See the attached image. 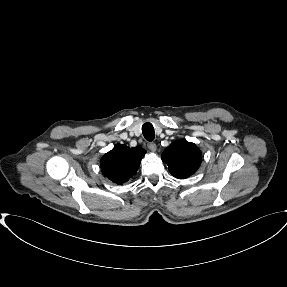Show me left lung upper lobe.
I'll use <instances>...</instances> for the list:
<instances>
[{
  "instance_id": "obj_1",
  "label": "left lung upper lobe",
  "mask_w": 287,
  "mask_h": 287,
  "mask_svg": "<svg viewBox=\"0 0 287 287\" xmlns=\"http://www.w3.org/2000/svg\"><path fill=\"white\" fill-rule=\"evenodd\" d=\"M201 151L186 140H178L170 144L162 154V160L168 165L171 174L184 179L196 172L201 164Z\"/></svg>"
}]
</instances>
